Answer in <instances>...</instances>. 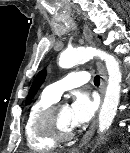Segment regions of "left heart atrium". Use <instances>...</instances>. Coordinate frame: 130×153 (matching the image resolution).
<instances>
[{"instance_id": "39dd6f15", "label": "left heart atrium", "mask_w": 130, "mask_h": 153, "mask_svg": "<svg viewBox=\"0 0 130 153\" xmlns=\"http://www.w3.org/2000/svg\"><path fill=\"white\" fill-rule=\"evenodd\" d=\"M98 107L96 98L85 92L77 93L69 107L70 121L73 127L80 126L91 120Z\"/></svg>"}]
</instances>
